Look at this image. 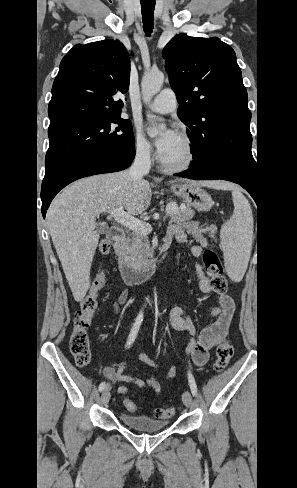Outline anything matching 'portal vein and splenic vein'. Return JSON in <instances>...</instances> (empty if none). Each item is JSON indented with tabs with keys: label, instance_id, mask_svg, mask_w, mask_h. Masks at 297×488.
<instances>
[{
	"label": "portal vein and splenic vein",
	"instance_id": "1",
	"mask_svg": "<svg viewBox=\"0 0 297 488\" xmlns=\"http://www.w3.org/2000/svg\"><path fill=\"white\" fill-rule=\"evenodd\" d=\"M176 209L174 204H168L166 206V216L170 214L173 210ZM110 216H112L117 222L126 226L130 230L134 232L141 233V234H149L152 231V227L149 223L143 222L134 216L126 213L123 207L115 208L112 211H109Z\"/></svg>",
	"mask_w": 297,
	"mask_h": 488
}]
</instances>
